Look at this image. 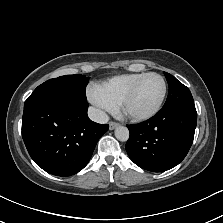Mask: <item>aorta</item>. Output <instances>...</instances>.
<instances>
[{
    "label": "aorta",
    "instance_id": "obj_1",
    "mask_svg": "<svg viewBox=\"0 0 223 223\" xmlns=\"http://www.w3.org/2000/svg\"><path fill=\"white\" fill-rule=\"evenodd\" d=\"M115 137L120 141H127L129 138V130L127 127L118 126L115 128Z\"/></svg>",
    "mask_w": 223,
    "mask_h": 223
}]
</instances>
